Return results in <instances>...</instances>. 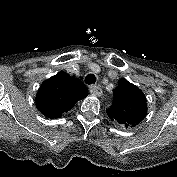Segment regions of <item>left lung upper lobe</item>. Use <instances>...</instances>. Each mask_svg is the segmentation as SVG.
I'll return each mask as SVG.
<instances>
[{"label":"left lung upper lobe","mask_w":177,"mask_h":177,"mask_svg":"<svg viewBox=\"0 0 177 177\" xmlns=\"http://www.w3.org/2000/svg\"><path fill=\"white\" fill-rule=\"evenodd\" d=\"M115 100L107 115L122 129H132L139 125L147 114L144 93L134 84L122 79L114 90Z\"/></svg>","instance_id":"1"}]
</instances>
